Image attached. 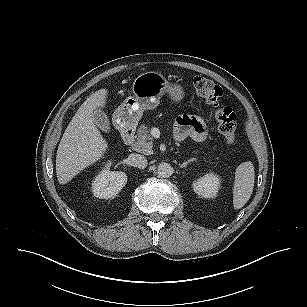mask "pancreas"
Instances as JSON below:
<instances>
[{"label": "pancreas", "mask_w": 307, "mask_h": 307, "mask_svg": "<svg viewBox=\"0 0 307 307\" xmlns=\"http://www.w3.org/2000/svg\"><path fill=\"white\" fill-rule=\"evenodd\" d=\"M137 139L132 144V149L150 155L153 153V137L150 134V128L146 125H141L137 130Z\"/></svg>", "instance_id": "cf45deb5"}]
</instances>
